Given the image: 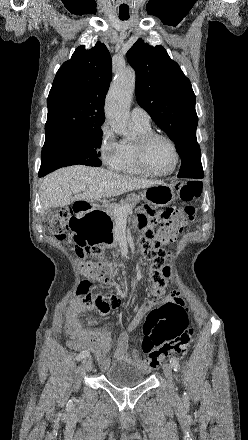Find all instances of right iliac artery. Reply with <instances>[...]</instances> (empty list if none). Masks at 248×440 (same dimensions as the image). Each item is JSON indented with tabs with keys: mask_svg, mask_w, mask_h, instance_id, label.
Returning a JSON list of instances; mask_svg holds the SVG:
<instances>
[{
	"mask_svg": "<svg viewBox=\"0 0 248 440\" xmlns=\"http://www.w3.org/2000/svg\"><path fill=\"white\" fill-rule=\"evenodd\" d=\"M88 356H90V352L87 351V350H85V351H82V352H80V353L77 354V356H76V360H77V361H80L81 359L86 358V357H88Z\"/></svg>",
	"mask_w": 248,
	"mask_h": 440,
	"instance_id": "obj_1",
	"label": "right iliac artery"
}]
</instances>
